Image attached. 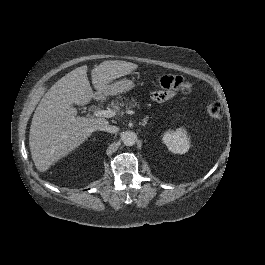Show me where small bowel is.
I'll return each mask as SVG.
<instances>
[{"label":"small bowel","instance_id":"obj_1","mask_svg":"<svg viewBox=\"0 0 265 265\" xmlns=\"http://www.w3.org/2000/svg\"><path fill=\"white\" fill-rule=\"evenodd\" d=\"M176 94L177 93L172 90L155 91L152 93V99L156 102H164L173 98Z\"/></svg>","mask_w":265,"mask_h":265}]
</instances>
